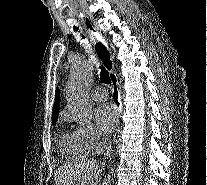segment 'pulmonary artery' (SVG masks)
I'll return each instance as SVG.
<instances>
[{"label": "pulmonary artery", "instance_id": "e3ab8cb5", "mask_svg": "<svg viewBox=\"0 0 207 185\" xmlns=\"http://www.w3.org/2000/svg\"><path fill=\"white\" fill-rule=\"evenodd\" d=\"M91 97L96 101L105 100L108 97V91L101 86L96 87L91 91Z\"/></svg>", "mask_w": 207, "mask_h": 185}]
</instances>
